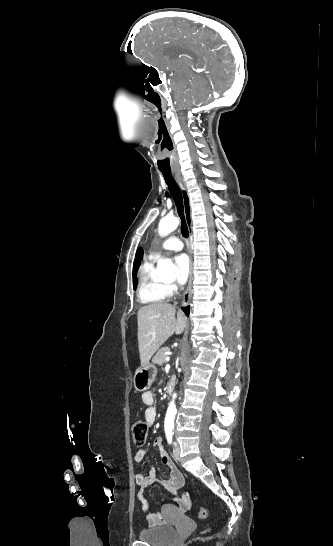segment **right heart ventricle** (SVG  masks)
Returning a JSON list of instances; mask_svg holds the SVG:
<instances>
[{"label":"right heart ventricle","instance_id":"1","mask_svg":"<svg viewBox=\"0 0 333 546\" xmlns=\"http://www.w3.org/2000/svg\"><path fill=\"white\" fill-rule=\"evenodd\" d=\"M165 285L154 275V262L145 261L139 271L138 298L144 305L161 303L168 298Z\"/></svg>","mask_w":333,"mask_h":546}]
</instances>
